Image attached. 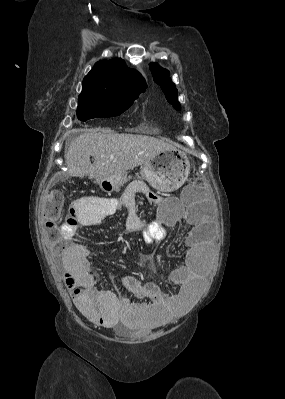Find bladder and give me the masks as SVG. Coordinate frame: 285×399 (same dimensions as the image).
Listing matches in <instances>:
<instances>
[{
	"label": "bladder",
	"instance_id": "bladder-1",
	"mask_svg": "<svg viewBox=\"0 0 285 399\" xmlns=\"http://www.w3.org/2000/svg\"><path fill=\"white\" fill-rule=\"evenodd\" d=\"M134 330H136V328L126 322H120L117 327V332L121 335H128Z\"/></svg>",
	"mask_w": 285,
	"mask_h": 399
}]
</instances>
